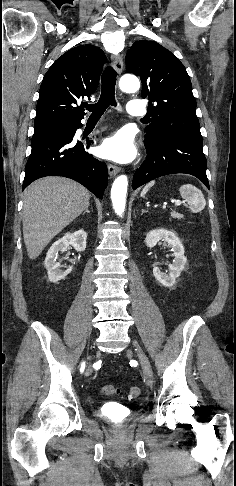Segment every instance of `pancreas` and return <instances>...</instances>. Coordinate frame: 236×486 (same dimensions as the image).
<instances>
[{"mask_svg": "<svg viewBox=\"0 0 236 486\" xmlns=\"http://www.w3.org/2000/svg\"><path fill=\"white\" fill-rule=\"evenodd\" d=\"M171 216L173 218H176V219H182L183 218V215L182 214L176 213V212H171Z\"/></svg>", "mask_w": 236, "mask_h": 486, "instance_id": "obj_1", "label": "pancreas"}]
</instances>
